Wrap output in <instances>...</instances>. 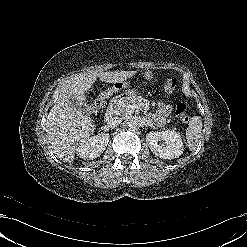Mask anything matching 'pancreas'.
I'll use <instances>...</instances> for the list:
<instances>
[{
    "instance_id": "pancreas-1",
    "label": "pancreas",
    "mask_w": 247,
    "mask_h": 247,
    "mask_svg": "<svg viewBox=\"0 0 247 247\" xmlns=\"http://www.w3.org/2000/svg\"><path fill=\"white\" fill-rule=\"evenodd\" d=\"M129 105H138V107L145 111L150 108V102L147 99L138 96L136 93H132L130 96L124 98H114L110 103V109L115 115L126 116L134 112L128 108Z\"/></svg>"
}]
</instances>
